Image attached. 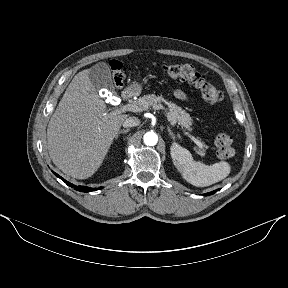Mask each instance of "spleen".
I'll return each instance as SVG.
<instances>
[{
  "instance_id": "obj_1",
  "label": "spleen",
  "mask_w": 288,
  "mask_h": 288,
  "mask_svg": "<svg viewBox=\"0 0 288 288\" xmlns=\"http://www.w3.org/2000/svg\"><path fill=\"white\" fill-rule=\"evenodd\" d=\"M171 157L173 164L183 178L197 187H206L225 179L231 171L228 162L221 161L213 165H205L194 161L191 153L177 143H172Z\"/></svg>"
}]
</instances>
